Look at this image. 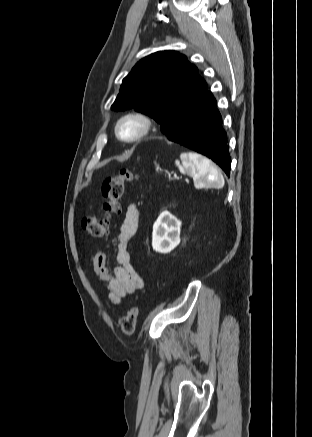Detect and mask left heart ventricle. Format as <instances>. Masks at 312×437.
Masks as SVG:
<instances>
[{
	"instance_id": "b2bd125f",
	"label": "left heart ventricle",
	"mask_w": 312,
	"mask_h": 437,
	"mask_svg": "<svg viewBox=\"0 0 312 437\" xmlns=\"http://www.w3.org/2000/svg\"><path fill=\"white\" fill-rule=\"evenodd\" d=\"M141 129L139 121L130 119L125 121L121 126V133L124 137H132L136 135Z\"/></svg>"
}]
</instances>
